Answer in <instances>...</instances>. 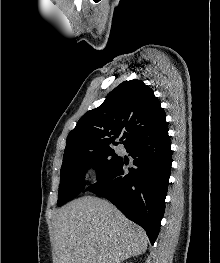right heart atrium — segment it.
Here are the masks:
<instances>
[{
	"label": "right heart atrium",
	"mask_w": 220,
	"mask_h": 263,
	"mask_svg": "<svg viewBox=\"0 0 220 263\" xmlns=\"http://www.w3.org/2000/svg\"><path fill=\"white\" fill-rule=\"evenodd\" d=\"M91 178L93 181H97L100 178V168L97 165H93L91 168Z\"/></svg>",
	"instance_id": "obj_1"
}]
</instances>
